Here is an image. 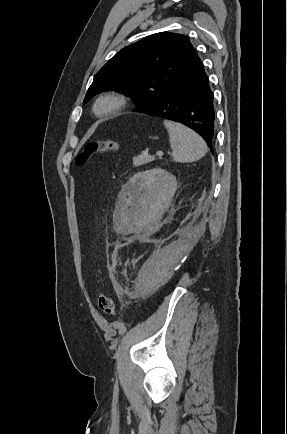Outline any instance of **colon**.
I'll list each match as a JSON object with an SVG mask.
<instances>
[{"label": "colon", "mask_w": 287, "mask_h": 434, "mask_svg": "<svg viewBox=\"0 0 287 434\" xmlns=\"http://www.w3.org/2000/svg\"><path fill=\"white\" fill-rule=\"evenodd\" d=\"M119 149V143L114 140L95 141L87 144L83 151L76 157L77 165H84L91 157L107 152H116ZM100 311L112 316L115 312V302L109 295H100L97 301Z\"/></svg>", "instance_id": "colon-1"}]
</instances>
